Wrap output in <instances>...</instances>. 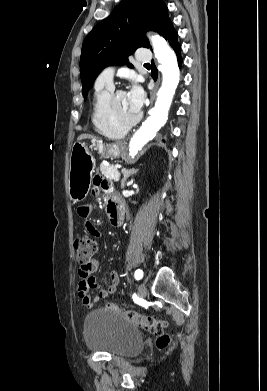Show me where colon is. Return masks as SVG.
<instances>
[{"instance_id": "5ec220e1", "label": "colon", "mask_w": 267, "mask_h": 391, "mask_svg": "<svg viewBox=\"0 0 267 391\" xmlns=\"http://www.w3.org/2000/svg\"><path fill=\"white\" fill-rule=\"evenodd\" d=\"M74 248L80 267L86 268L98 253L99 244L97 239L93 236L80 235L74 241ZM105 307L119 312L125 320L135 324L142 330L153 334L156 337V344L159 348L163 349L169 345L170 337L166 333L168 327L166 320L151 315H144L133 310H120L116 305L110 303L106 304Z\"/></svg>"}]
</instances>
